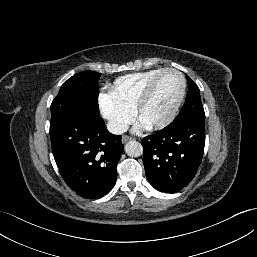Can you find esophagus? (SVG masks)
I'll return each instance as SVG.
<instances>
[{
	"mask_svg": "<svg viewBox=\"0 0 257 257\" xmlns=\"http://www.w3.org/2000/svg\"><path fill=\"white\" fill-rule=\"evenodd\" d=\"M132 139H133L132 137L127 136V135H124V136L122 137V143H126V142H128V141H130V140H132Z\"/></svg>",
	"mask_w": 257,
	"mask_h": 257,
	"instance_id": "1",
	"label": "esophagus"
}]
</instances>
